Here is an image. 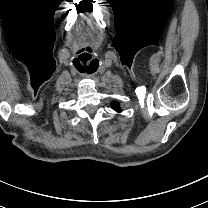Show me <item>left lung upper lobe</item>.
Listing matches in <instances>:
<instances>
[{"instance_id":"left-lung-upper-lobe-1","label":"left lung upper lobe","mask_w":208,"mask_h":208,"mask_svg":"<svg viewBox=\"0 0 208 208\" xmlns=\"http://www.w3.org/2000/svg\"><path fill=\"white\" fill-rule=\"evenodd\" d=\"M112 108L118 112L121 111L119 104L116 102L112 103Z\"/></svg>"}]
</instances>
